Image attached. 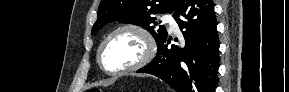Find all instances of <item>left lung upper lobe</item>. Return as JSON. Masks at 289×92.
Masks as SVG:
<instances>
[{"label": "left lung upper lobe", "instance_id": "5c2ea615", "mask_svg": "<svg viewBox=\"0 0 289 92\" xmlns=\"http://www.w3.org/2000/svg\"><path fill=\"white\" fill-rule=\"evenodd\" d=\"M180 0H102L98 7V19L91 34H95L107 23L118 21L138 25L148 30L161 45L167 37L164 26H159L154 14L172 13Z\"/></svg>", "mask_w": 289, "mask_h": 92}]
</instances>
